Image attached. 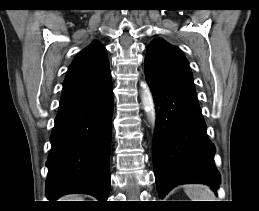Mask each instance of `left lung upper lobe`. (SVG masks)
<instances>
[{
    "instance_id": "obj_1",
    "label": "left lung upper lobe",
    "mask_w": 259,
    "mask_h": 211,
    "mask_svg": "<svg viewBox=\"0 0 259 211\" xmlns=\"http://www.w3.org/2000/svg\"><path fill=\"white\" fill-rule=\"evenodd\" d=\"M145 75L167 89L195 93L192 73L182 51L162 39L153 40L146 49Z\"/></svg>"
}]
</instances>
